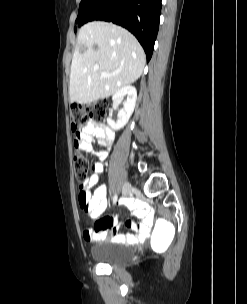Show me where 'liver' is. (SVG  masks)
<instances>
[{"label":"liver","instance_id":"1","mask_svg":"<svg viewBox=\"0 0 247 304\" xmlns=\"http://www.w3.org/2000/svg\"><path fill=\"white\" fill-rule=\"evenodd\" d=\"M145 63L143 48L129 31L102 21L87 23L78 33L72 58L70 100L88 104L107 98L135 82ZM102 72L109 76L101 77Z\"/></svg>","mask_w":247,"mask_h":304}]
</instances>
